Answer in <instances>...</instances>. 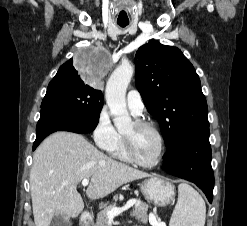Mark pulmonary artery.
I'll use <instances>...</instances> for the list:
<instances>
[{"mask_svg": "<svg viewBox=\"0 0 247 226\" xmlns=\"http://www.w3.org/2000/svg\"><path fill=\"white\" fill-rule=\"evenodd\" d=\"M127 105L134 115H140L144 109V103L140 93L133 89L127 93Z\"/></svg>", "mask_w": 247, "mask_h": 226, "instance_id": "obj_1", "label": "pulmonary artery"}]
</instances>
